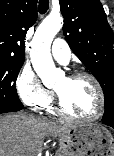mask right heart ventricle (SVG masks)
I'll return each mask as SVG.
<instances>
[{
	"mask_svg": "<svg viewBox=\"0 0 114 156\" xmlns=\"http://www.w3.org/2000/svg\"><path fill=\"white\" fill-rule=\"evenodd\" d=\"M50 113H54V108L51 106V102L45 107Z\"/></svg>",
	"mask_w": 114,
	"mask_h": 156,
	"instance_id": "1",
	"label": "right heart ventricle"
}]
</instances>
